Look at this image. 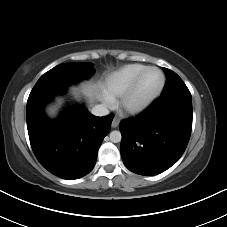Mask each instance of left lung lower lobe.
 <instances>
[{
  "mask_svg": "<svg viewBox=\"0 0 227 227\" xmlns=\"http://www.w3.org/2000/svg\"><path fill=\"white\" fill-rule=\"evenodd\" d=\"M192 129V99L158 98L135 118L120 123L124 165L151 176L175 164L184 153Z\"/></svg>",
  "mask_w": 227,
  "mask_h": 227,
  "instance_id": "left-lung-lower-lobe-1",
  "label": "left lung lower lobe"
}]
</instances>
